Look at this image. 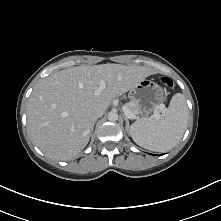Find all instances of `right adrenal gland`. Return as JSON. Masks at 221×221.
Here are the masks:
<instances>
[{"label":"right adrenal gland","mask_w":221,"mask_h":221,"mask_svg":"<svg viewBox=\"0 0 221 221\" xmlns=\"http://www.w3.org/2000/svg\"><path fill=\"white\" fill-rule=\"evenodd\" d=\"M95 123H96V120H95V121H93V123H92V127H91V134L93 133V129H94V125H95Z\"/></svg>","instance_id":"2a0ac1e0"}]
</instances>
